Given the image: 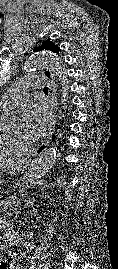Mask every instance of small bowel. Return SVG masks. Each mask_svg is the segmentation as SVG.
I'll list each match as a JSON object with an SVG mask.
<instances>
[{
	"instance_id": "c3829d8e",
	"label": "small bowel",
	"mask_w": 118,
	"mask_h": 269,
	"mask_svg": "<svg viewBox=\"0 0 118 269\" xmlns=\"http://www.w3.org/2000/svg\"><path fill=\"white\" fill-rule=\"evenodd\" d=\"M0 232H1V237H0L1 246L11 247V246L20 245L21 243L20 237L11 230L9 223L6 219L0 220ZM9 264H8V267H9ZM15 264H16L15 262H11V266H14ZM3 267L4 269H6V265L5 266L3 265Z\"/></svg>"
}]
</instances>
